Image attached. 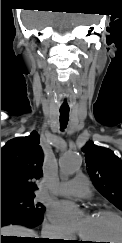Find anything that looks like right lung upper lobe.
Wrapping results in <instances>:
<instances>
[{"instance_id":"1","label":"right lung upper lobe","mask_w":122,"mask_h":243,"mask_svg":"<svg viewBox=\"0 0 122 243\" xmlns=\"http://www.w3.org/2000/svg\"><path fill=\"white\" fill-rule=\"evenodd\" d=\"M39 143L38 133L32 132L1 148V197L34 195L44 159Z\"/></svg>"}]
</instances>
